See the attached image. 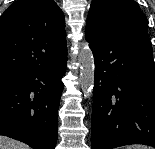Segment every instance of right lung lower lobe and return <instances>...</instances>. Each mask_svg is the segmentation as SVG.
<instances>
[{
    "label": "right lung lower lobe",
    "mask_w": 155,
    "mask_h": 149,
    "mask_svg": "<svg viewBox=\"0 0 155 149\" xmlns=\"http://www.w3.org/2000/svg\"><path fill=\"white\" fill-rule=\"evenodd\" d=\"M66 62L67 53L24 73L18 84L0 88V135L34 149H55Z\"/></svg>",
    "instance_id": "1"
}]
</instances>
